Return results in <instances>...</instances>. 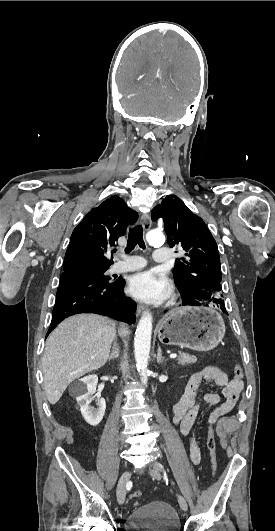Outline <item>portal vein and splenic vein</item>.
Returning a JSON list of instances; mask_svg holds the SVG:
<instances>
[{
	"mask_svg": "<svg viewBox=\"0 0 275 531\" xmlns=\"http://www.w3.org/2000/svg\"><path fill=\"white\" fill-rule=\"evenodd\" d=\"M177 355H170V359H176ZM91 359H94V357H91Z\"/></svg>",
	"mask_w": 275,
	"mask_h": 531,
	"instance_id": "18ae733b",
	"label": "portal vein and splenic vein"
}]
</instances>
